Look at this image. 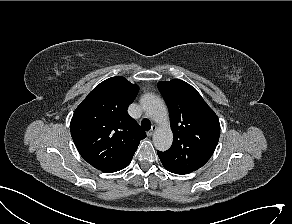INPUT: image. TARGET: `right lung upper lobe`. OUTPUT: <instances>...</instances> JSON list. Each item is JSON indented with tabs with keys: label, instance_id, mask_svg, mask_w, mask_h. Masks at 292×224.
<instances>
[{
	"label": "right lung upper lobe",
	"instance_id": "1",
	"mask_svg": "<svg viewBox=\"0 0 292 224\" xmlns=\"http://www.w3.org/2000/svg\"><path fill=\"white\" fill-rule=\"evenodd\" d=\"M139 87L122 76L97 85L76 108L70 129L80 155L93 167L107 171L131 161L145 132L127 108Z\"/></svg>",
	"mask_w": 292,
	"mask_h": 224
}]
</instances>
